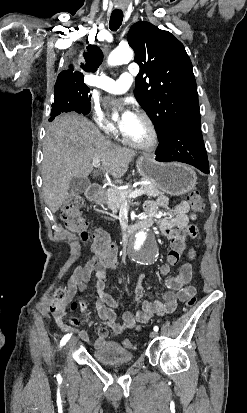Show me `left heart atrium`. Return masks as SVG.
<instances>
[{"label": "left heart atrium", "mask_w": 247, "mask_h": 413, "mask_svg": "<svg viewBox=\"0 0 247 413\" xmlns=\"http://www.w3.org/2000/svg\"><path fill=\"white\" fill-rule=\"evenodd\" d=\"M109 104L113 107L124 106L123 115V132L128 133L133 127L138 126L141 122V117L139 113L135 112L129 107V103L126 100H110Z\"/></svg>", "instance_id": "1"}]
</instances>
